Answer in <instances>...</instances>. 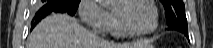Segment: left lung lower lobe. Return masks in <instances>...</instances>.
Instances as JSON below:
<instances>
[{
  "instance_id": "obj_1",
  "label": "left lung lower lobe",
  "mask_w": 213,
  "mask_h": 48,
  "mask_svg": "<svg viewBox=\"0 0 213 48\" xmlns=\"http://www.w3.org/2000/svg\"><path fill=\"white\" fill-rule=\"evenodd\" d=\"M169 29H175L182 32L188 38V27H182L176 24H169Z\"/></svg>"
}]
</instances>
